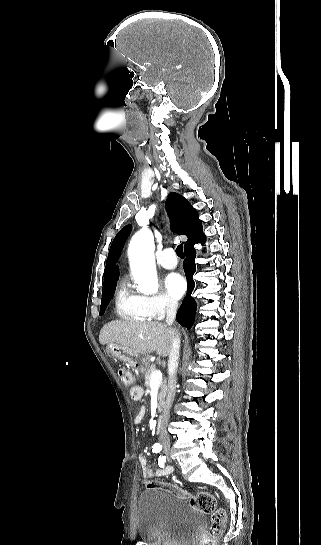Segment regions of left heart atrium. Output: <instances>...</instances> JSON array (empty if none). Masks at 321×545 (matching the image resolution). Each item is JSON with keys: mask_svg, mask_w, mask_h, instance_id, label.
I'll use <instances>...</instances> for the list:
<instances>
[{"mask_svg": "<svg viewBox=\"0 0 321 545\" xmlns=\"http://www.w3.org/2000/svg\"><path fill=\"white\" fill-rule=\"evenodd\" d=\"M166 294L172 299H178L186 290V282L178 273H169L163 280Z\"/></svg>", "mask_w": 321, "mask_h": 545, "instance_id": "obj_1", "label": "left heart atrium"}]
</instances>
